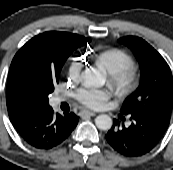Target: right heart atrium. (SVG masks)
<instances>
[{
    "mask_svg": "<svg viewBox=\"0 0 173 170\" xmlns=\"http://www.w3.org/2000/svg\"><path fill=\"white\" fill-rule=\"evenodd\" d=\"M78 68H79V64H75V65L73 66V69H72V70H73L74 72H76V71L78 70Z\"/></svg>",
    "mask_w": 173,
    "mask_h": 170,
    "instance_id": "obj_1",
    "label": "right heart atrium"
}]
</instances>
